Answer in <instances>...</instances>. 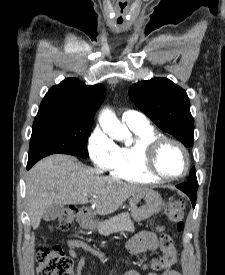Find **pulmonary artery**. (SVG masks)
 <instances>
[{
	"mask_svg": "<svg viewBox=\"0 0 225 275\" xmlns=\"http://www.w3.org/2000/svg\"><path fill=\"white\" fill-rule=\"evenodd\" d=\"M122 120L128 126H145V125L149 124V122L144 114L134 111V110L125 111L122 114Z\"/></svg>",
	"mask_w": 225,
	"mask_h": 275,
	"instance_id": "1",
	"label": "pulmonary artery"
}]
</instances>
